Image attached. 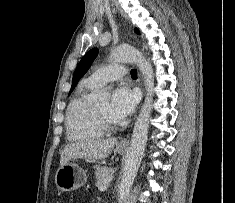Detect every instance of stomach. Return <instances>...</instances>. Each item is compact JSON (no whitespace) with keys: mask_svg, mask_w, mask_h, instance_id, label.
<instances>
[{"mask_svg":"<svg viewBox=\"0 0 235 203\" xmlns=\"http://www.w3.org/2000/svg\"><path fill=\"white\" fill-rule=\"evenodd\" d=\"M115 151L123 154L126 149L119 146ZM87 181V174L81 167L72 162L60 166L55 175L56 186L61 191L70 192L83 186Z\"/></svg>","mask_w":235,"mask_h":203,"instance_id":"0dacf381","label":"stomach"}]
</instances>
